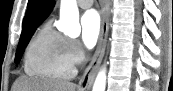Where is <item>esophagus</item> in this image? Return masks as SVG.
<instances>
[{
	"mask_svg": "<svg viewBox=\"0 0 173 91\" xmlns=\"http://www.w3.org/2000/svg\"><path fill=\"white\" fill-rule=\"evenodd\" d=\"M100 4H101V32L96 51L79 82V87L82 91H88L91 88L105 53L107 37H108V29H109V4L108 0H101Z\"/></svg>",
	"mask_w": 173,
	"mask_h": 91,
	"instance_id": "obj_1",
	"label": "esophagus"
}]
</instances>
